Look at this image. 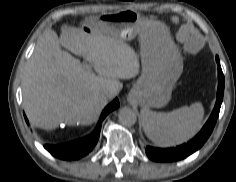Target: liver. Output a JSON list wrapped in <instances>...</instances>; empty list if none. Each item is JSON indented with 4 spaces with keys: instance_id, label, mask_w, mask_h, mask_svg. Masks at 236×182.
<instances>
[{
    "instance_id": "liver-1",
    "label": "liver",
    "mask_w": 236,
    "mask_h": 182,
    "mask_svg": "<svg viewBox=\"0 0 236 182\" xmlns=\"http://www.w3.org/2000/svg\"><path fill=\"white\" fill-rule=\"evenodd\" d=\"M61 30L60 38L52 30L39 38L22 78L24 110L32 124L47 130L61 123H94L107 104L101 91L111 90L115 97L122 88L118 79L137 76L140 67L133 48L108 35L105 22L90 33L67 25ZM61 46L83 57L97 74Z\"/></svg>"
}]
</instances>
